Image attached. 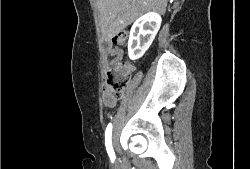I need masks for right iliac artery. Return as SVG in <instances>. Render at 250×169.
<instances>
[{
  "mask_svg": "<svg viewBox=\"0 0 250 169\" xmlns=\"http://www.w3.org/2000/svg\"><path fill=\"white\" fill-rule=\"evenodd\" d=\"M111 137H112V124L109 123L105 131V146H106L107 153L111 161L113 162L115 160V152L112 147Z\"/></svg>",
  "mask_w": 250,
  "mask_h": 169,
  "instance_id": "obj_1",
  "label": "right iliac artery"
}]
</instances>
